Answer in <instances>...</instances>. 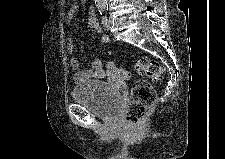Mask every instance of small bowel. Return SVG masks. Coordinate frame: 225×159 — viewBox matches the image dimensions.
I'll list each match as a JSON object with an SVG mask.
<instances>
[{
	"mask_svg": "<svg viewBox=\"0 0 225 159\" xmlns=\"http://www.w3.org/2000/svg\"><path fill=\"white\" fill-rule=\"evenodd\" d=\"M79 7L76 4H72L68 10L67 14V19L71 21L78 13ZM87 24L88 26L96 31L97 33H100V41L101 43L105 46H109V37L105 34L101 33L97 17L93 11L92 8H90L89 13H88V18H87ZM67 50L69 53H73L74 51V43L71 38H68L67 41ZM69 65L70 68L74 71L73 73V82L75 84H81L83 82H86L88 80H93V79H102V78H107L111 81H115L116 79L110 77L106 71V69L103 66L102 61L99 58H93L91 60V68L86 71H79V62L77 58L72 57L69 60Z\"/></svg>",
	"mask_w": 225,
	"mask_h": 159,
	"instance_id": "small-bowel-1",
	"label": "small bowel"
}]
</instances>
